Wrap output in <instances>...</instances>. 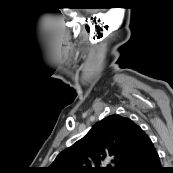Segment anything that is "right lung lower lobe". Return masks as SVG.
<instances>
[{"label":"right lung lower lobe","instance_id":"1","mask_svg":"<svg viewBox=\"0 0 173 173\" xmlns=\"http://www.w3.org/2000/svg\"><path fill=\"white\" fill-rule=\"evenodd\" d=\"M159 155L154 146L144 154L130 160L120 173H164Z\"/></svg>","mask_w":173,"mask_h":173}]
</instances>
